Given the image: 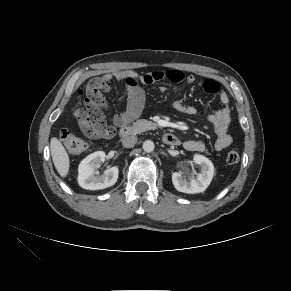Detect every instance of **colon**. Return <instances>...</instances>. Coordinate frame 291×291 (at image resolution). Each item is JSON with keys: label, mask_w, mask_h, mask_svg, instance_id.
Listing matches in <instances>:
<instances>
[{"label": "colon", "mask_w": 291, "mask_h": 291, "mask_svg": "<svg viewBox=\"0 0 291 291\" xmlns=\"http://www.w3.org/2000/svg\"><path fill=\"white\" fill-rule=\"evenodd\" d=\"M103 90L98 87L87 88L82 96V107L74 111V116L82 129L87 133L102 120V107L105 99ZM60 138L65 148L72 154H80L89 148V144L70 129H63ZM240 159L236 150H230L225 155L227 164H236Z\"/></svg>", "instance_id": "5ec220e1"}]
</instances>
